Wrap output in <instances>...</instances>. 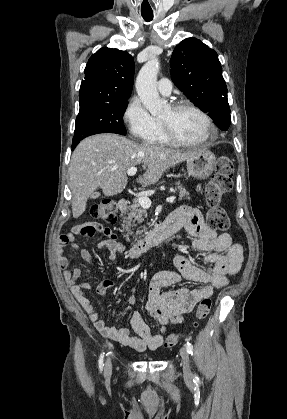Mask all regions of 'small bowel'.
I'll return each mask as SVG.
<instances>
[{
    "label": "small bowel",
    "mask_w": 287,
    "mask_h": 419,
    "mask_svg": "<svg viewBox=\"0 0 287 419\" xmlns=\"http://www.w3.org/2000/svg\"><path fill=\"white\" fill-rule=\"evenodd\" d=\"M175 230L185 229L193 237V247L206 252L205 262L208 268H199L190 263L184 254H177L174 263L177 271H167L156 274L149 284L148 300L145 304L146 311L158 323L157 332H152L150 327L143 321L138 312L131 316V325L136 333L132 335L128 328L117 329L108 326L99 318L88 299L85 290L91 289L88 282L76 283L81 275V270L68 268V260L64 255L65 247L71 245L77 248L74 240L77 235L92 236L97 232L103 233L107 238L100 241L98 247L109 251L110 261H115L118 254L125 252L126 247L119 242L115 234L108 228L96 223H83L74 226L70 232L59 237L56 249V260L61 269L67 285L78 301L82 309L93 322L95 328L105 337L117 341L137 351L147 348L155 350L159 348L164 339L167 327L182 321L186 313L192 311L195 305L204 298L212 296L215 290L227 285V276L236 274L243 262V249L239 244L232 242L227 232L217 234L204 222L199 210L182 206L173 211L166 222ZM81 257L88 263L92 262L87 250H81ZM182 279L196 281L202 284L200 288H179L162 292V288L180 282ZM116 282L112 279L102 281L96 292L103 297L106 291L113 287ZM128 304L135 302L134 296L127 299Z\"/></svg>",
    "instance_id": "c3829d8e"
}]
</instances>
